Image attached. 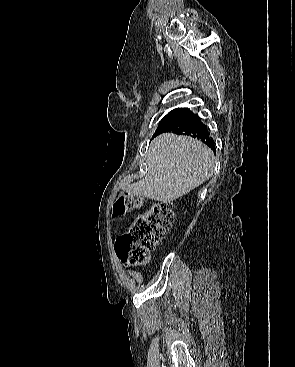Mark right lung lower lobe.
<instances>
[{"label": "right lung lower lobe", "instance_id": "right-lung-lower-lobe-1", "mask_svg": "<svg viewBox=\"0 0 295 367\" xmlns=\"http://www.w3.org/2000/svg\"><path fill=\"white\" fill-rule=\"evenodd\" d=\"M164 132H173L197 138L216 152L214 141L210 137L207 127L196 114L187 108L177 109L158 127L154 136Z\"/></svg>", "mask_w": 295, "mask_h": 367}]
</instances>
